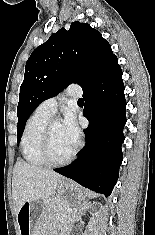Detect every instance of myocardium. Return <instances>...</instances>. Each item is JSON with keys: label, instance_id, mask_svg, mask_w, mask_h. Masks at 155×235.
Wrapping results in <instances>:
<instances>
[{"label": "myocardium", "instance_id": "myocardium-1", "mask_svg": "<svg viewBox=\"0 0 155 235\" xmlns=\"http://www.w3.org/2000/svg\"><path fill=\"white\" fill-rule=\"evenodd\" d=\"M55 122H58V120L50 119L48 123L46 124L43 130L40 152H41L42 158L47 164L53 165V166H60V165H65L69 163L70 161H72L76 155L77 149L76 147H74L72 152L66 158L61 159V160H57L52 156L51 154V131H52V126Z\"/></svg>", "mask_w": 155, "mask_h": 235}]
</instances>
